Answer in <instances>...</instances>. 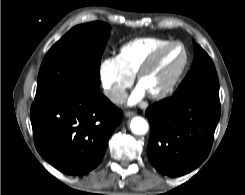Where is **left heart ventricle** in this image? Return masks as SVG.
<instances>
[{"label": "left heart ventricle", "instance_id": "1", "mask_svg": "<svg viewBox=\"0 0 245 195\" xmlns=\"http://www.w3.org/2000/svg\"><path fill=\"white\" fill-rule=\"evenodd\" d=\"M182 61V50L176 46L165 52L158 62L143 76L139 86L145 93H151L162 88Z\"/></svg>", "mask_w": 245, "mask_h": 195}]
</instances>
